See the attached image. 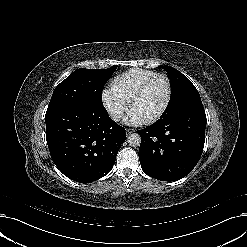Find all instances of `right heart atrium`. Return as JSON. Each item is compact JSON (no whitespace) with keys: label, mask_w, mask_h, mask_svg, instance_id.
Masks as SVG:
<instances>
[{"label":"right heart atrium","mask_w":247,"mask_h":247,"mask_svg":"<svg viewBox=\"0 0 247 247\" xmlns=\"http://www.w3.org/2000/svg\"><path fill=\"white\" fill-rule=\"evenodd\" d=\"M103 101L106 108L114 118L119 119L123 116V113L126 110L125 103L116 96L113 90L104 93Z\"/></svg>","instance_id":"1"}]
</instances>
